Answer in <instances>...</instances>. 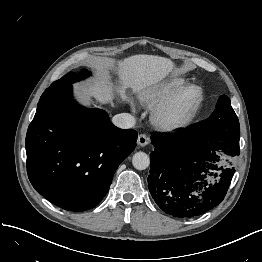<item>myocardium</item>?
<instances>
[{
	"instance_id": "obj_1",
	"label": "myocardium",
	"mask_w": 262,
	"mask_h": 262,
	"mask_svg": "<svg viewBox=\"0 0 262 262\" xmlns=\"http://www.w3.org/2000/svg\"><path fill=\"white\" fill-rule=\"evenodd\" d=\"M189 90H195L197 96L192 108L188 112L180 109L184 94ZM203 102V89L195 83H187L181 86L174 94L161 102L153 112L154 125L163 131H174L189 125L200 110Z\"/></svg>"
}]
</instances>
